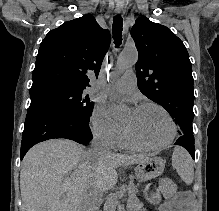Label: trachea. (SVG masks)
Instances as JSON below:
<instances>
[{
  "label": "trachea",
  "mask_w": 219,
  "mask_h": 211,
  "mask_svg": "<svg viewBox=\"0 0 219 211\" xmlns=\"http://www.w3.org/2000/svg\"><path fill=\"white\" fill-rule=\"evenodd\" d=\"M112 30L114 43L116 48H118L122 43L123 19L121 15L114 16Z\"/></svg>",
  "instance_id": "trachea-1"
}]
</instances>
